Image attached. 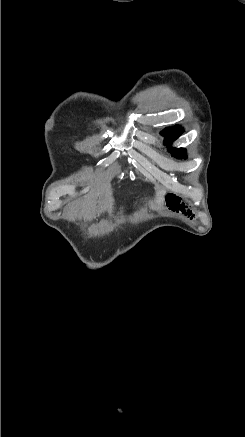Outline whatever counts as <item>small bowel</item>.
Returning <instances> with one entry per match:
<instances>
[{"label": "small bowel", "instance_id": "small-bowel-1", "mask_svg": "<svg viewBox=\"0 0 245 437\" xmlns=\"http://www.w3.org/2000/svg\"><path fill=\"white\" fill-rule=\"evenodd\" d=\"M167 205L170 210L181 213L185 216L192 217V211L187 203L182 201L174 194H169L167 197Z\"/></svg>", "mask_w": 245, "mask_h": 437}]
</instances>
